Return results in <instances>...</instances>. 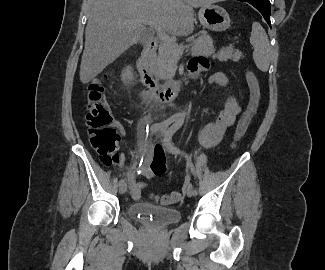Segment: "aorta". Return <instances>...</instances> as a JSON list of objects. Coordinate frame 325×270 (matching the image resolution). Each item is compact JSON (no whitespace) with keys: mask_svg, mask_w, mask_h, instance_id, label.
Wrapping results in <instances>:
<instances>
[{"mask_svg":"<svg viewBox=\"0 0 325 270\" xmlns=\"http://www.w3.org/2000/svg\"><path fill=\"white\" fill-rule=\"evenodd\" d=\"M185 115H186V112L184 111V112H182V113L179 114V118L180 119H184L185 118Z\"/></svg>","mask_w":325,"mask_h":270,"instance_id":"obj_1","label":"aorta"}]
</instances>
